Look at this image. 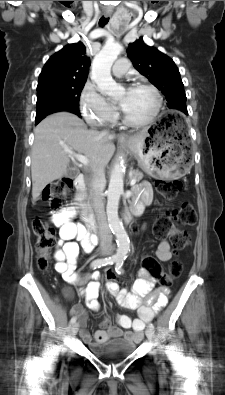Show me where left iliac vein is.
Returning <instances> with one entry per match:
<instances>
[{
    "mask_svg": "<svg viewBox=\"0 0 225 395\" xmlns=\"http://www.w3.org/2000/svg\"><path fill=\"white\" fill-rule=\"evenodd\" d=\"M145 334H146V336H147V338L149 340H153L154 339V332H153L152 329L147 328L146 331H145Z\"/></svg>",
    "mask_w": 225,
    "mask_h": 395,
    "instance_id": "left-iliac-vein-1",
    "label": "left iliac vein"
}]
</instances>
